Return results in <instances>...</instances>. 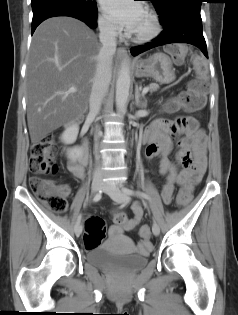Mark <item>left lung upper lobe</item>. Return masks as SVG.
Here are the masks:
<instances>
[{
  "label": "left lung upper lobe",
  "instance_id": "left-lung-upper-lobe-1",
  "mask_svg": "<svg viewBox=\"0 0 238 315\" xmlns=\"http://www.w3.org/2000/svg\"><path fill=\"white\" fill-rule=\"evenodd\" d=\"M154 3L155 9L160 16L167 15L177 7L185 4H200L202 0H149Z\"/></svg>",
  "mask_w": 238,
  "mask_h": 315
}]
</instances>
